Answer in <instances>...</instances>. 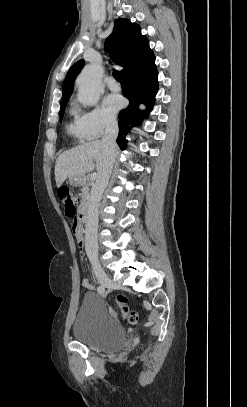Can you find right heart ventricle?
<instances>
[{"label": "right heart ventricle", "mask_w": 247, "mask_h": 407, "mask_svg": "<svg viewBox=\"0 0 247 407\" xmlns=\"http://www.w3.org/2000/svg\"><path fill=\"white\" fill-rule=\"evenodd\" d=\"M70 120L66 126L67 133L77 140H87L86 134L79 122V113L75 108L69 110Z\"/></svg>", "instance_id": "right-heart-ventricle-1"}]
</instances>
